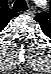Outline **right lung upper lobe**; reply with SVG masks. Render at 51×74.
Here are the masks:
<instances>
[{
	"mask_svg": "<svg viewBox=\"0 0 51 74\" xmlns=\"http://www.w3.org/2000/svg\"><path fill=\"white\" fill-rule=\"evenodd\" d=\"M16 14L12 13L11 11L8 13V18L6 19L4 26L7 24V22H9L8 20H10L12 17H14Z\"/></svg>",
	"mask_w": 51,
	"mask_h": 74,
	"instance_id": "1",
	"label": "right lung upper lobe"
}]
</instances>
